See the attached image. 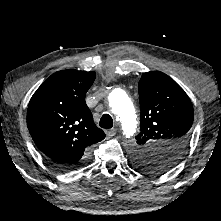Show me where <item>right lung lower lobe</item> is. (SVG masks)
Here are the masks:
<instances>
[{
    "label": "right lung lower lobe",
    "instance_id": "1",
    "mask_svg": "<svg viewBox=\"0 0 221 221\" xmlns=\"http://www.w3.org/2000/svg\"><path fill=\"white\" fill-rule=\"evenodd\" d=\"M87 159L88 158H85L84 160H81L79 162H76V163H72V164H57V163H53L51 162V164H53L55 167L61 169V170H72V169H75V168H78L82 165H84L86 162H87Z\"/></svg>",
    "mask_w": 221,
    "mask_h": 221
}]
</instances>
